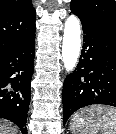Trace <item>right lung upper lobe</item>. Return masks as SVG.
<instances>
[{
    "label": "right lung upper lobe",
    "instance_id": "obj_1",
    "mask_svg": "<svg viewBox=\"0 0 116 134\" xmlns=\"http://www.w3.org/2000/svg\"><path fill=\"white\" fill-rule=\"evenodd\" d=\"M31 0H0V55L35 33Z\"/></svg>",
    "mask_w": 116,
    "mask_h": 134
}]
</instances>
